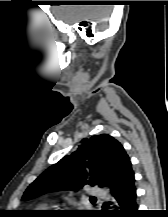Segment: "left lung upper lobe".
<instances>
[{"instance_id": "1", "label": "left lung upper lobe", "mask_w": 168, "mask_h": 217, "mask_svg": "<svg viewBox=\"0 0 168 217\" xmlns=\"http://www.w3.org/2000/svg\"><path fill=\"white\" fill-rule=\"evenodd\" d=\"M130 166V158L120 142L107 134L93 135L44 171L29 185L22 199L58 190L77 191L85 185H98L111 191L125 182Z\"/></svg>"}]
</instances>
